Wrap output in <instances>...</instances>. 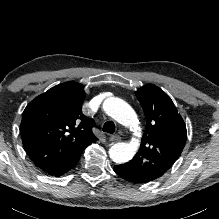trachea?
Instances as JSON below:
<instances>
[{"mask_svg": "<svg viewBox=\"0 0 219 219\" xmlns=\"http://www.w3.org/2000/svg\"><path fill=\"white\" fill-rule=\"evenodd\" d=\"M103 131L109 134H113L115 131V124L112 121H107L103 126Z\"/></svg>", "mask_w": 219, "mask_h": 219, "instance_id": "trachea-1", "label": "trachea"}]
</instances>
